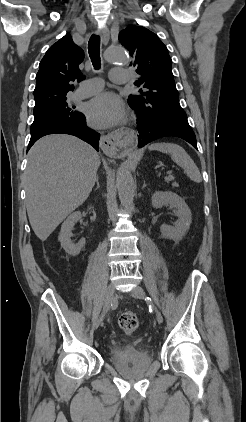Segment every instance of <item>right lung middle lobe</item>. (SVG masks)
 <instances>
[{
  "label": "right lung middle lobe",
  "mask_w": 246,
  "mask_h": 422,
  "mask_svg": "<svg viewBox=\"0 0 246 422\" xmlns=\"http://www.w3.org/2000/svg\"><path fill=\"white\" fill-rule=\"evenodd\" d=\"M66 100L62 99L47 106L34 109V121L30 131L37 130L49 124L78 119L82 113L73 110L74 107L68 106Z\"/></svg>",
  "instance_id": "obj_1"
}]
</instances>
